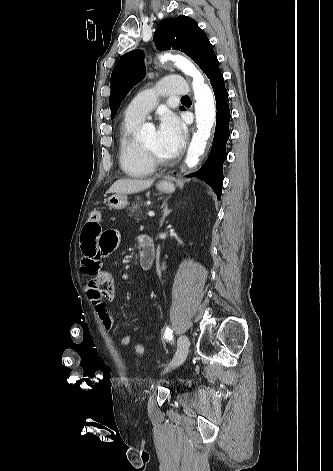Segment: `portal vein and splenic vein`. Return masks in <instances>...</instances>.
<instances>
[{"label": "portal vein and splenic vein", "instance_id": "obj_1", "mask_svg": "<svg viewBox=\"0 0 333 471\" xmlns=\"http://www.w3.org/2000/svg\"><path fill=\"white\" fill-rule=\"evenodd\" d=\"M148 216H149V217H154V216H155V213H154L153 211H149V212H148Z\"/></svg>", "mask_w": 333, "mask_h": 471}]
</instances>
